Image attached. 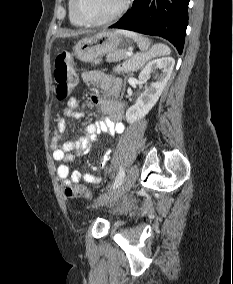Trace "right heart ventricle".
Wrapping results in <instances>:
<instances>
[{
    "label": "right heart ventricle",
    "mask_w": 233,
    "mask_h": 284,
    "mask_svg": "<svg viewBox=\"0 0 233 284\" xmlns=\"http://www.w3.org/2000/svg\"><path fill=\"white\" fill-rule=\"evenodd\" d=\"M74 4L75 0H68V17L69 21L73 26L76 27H82L85 24L82 23L76 16L75 11H74Z\"/></svg>",
    "instance_id": "right-heart-ventricle-1"
}]
</instances>
